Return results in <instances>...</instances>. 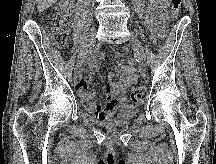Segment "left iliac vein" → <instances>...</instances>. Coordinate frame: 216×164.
Masks as SVG:
<instances>
[{"instance_id": "left-iliac-vein-1", "label": "left iliac vein", "mask_w": 216, "mask_h": 164, "mask_svg": "<svg viewBox=\"0 0 216 164\" xmlns=\"http://www.w3.org/2000/svg\"><path fill=\"white\" fill-rule=\"evenodd\" d=\"M130 43H131L134 51L140 55L139 61L141 63L139 64V69L141 72H144L146 70L144 48H143L141 42L139 41V39L133 34L130 36Z\"/></svg>"}]
</instances>
